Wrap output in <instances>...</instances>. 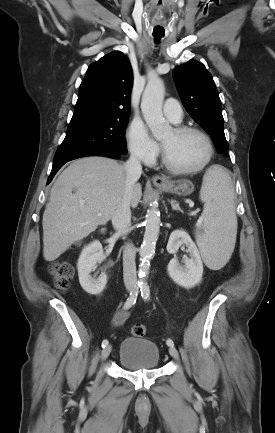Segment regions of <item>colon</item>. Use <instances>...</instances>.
<instances>
[{
    "label": "colon",
    "mask_w": 275,
    "mask_h": 433,
    "mask_svg": "<svg viewBox=\"0 0 275 433\" xmlns=\"http://www.w3.org/2000/svg\"><path fill=\"white\" fill-rule=\"evenodd\" d=\"M51 275L55 287L59 290H65L73 278L74 269L69 262H58L51 267ZM132 334L135 337H143L146 334L145 325L140 323L135 324L132 328Z\"/></svg>",
    "instance_id": "5ec220e1"
}]
</instances>
